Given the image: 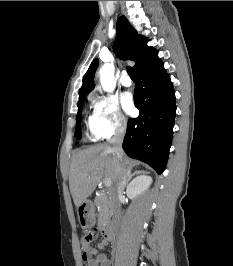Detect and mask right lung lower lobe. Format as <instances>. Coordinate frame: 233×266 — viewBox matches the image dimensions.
<instances>
[{
	"label": "right lung lower lobe",
	"instance_id": "obj_1",
	"mask_svg": "<svg viewBox=\"0 0 233 266\" xmlns=\"http://www.w3.org/2000/svg\"><path fill=\"white\" fill-rule=\"evenodd\" d=\"M135 73L134 102L140 115L129 119L122 147L128 156L148 163L161 174L173 136L175 92L157 56Z\"/></svg>",
	"mask_w": 233,
	"mask_h": 266
}]
</instances>
